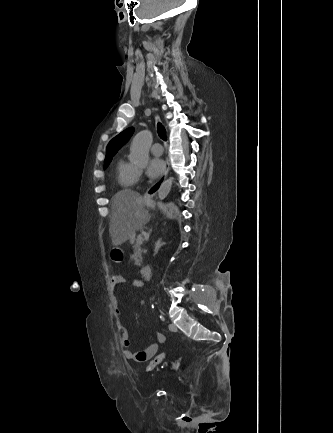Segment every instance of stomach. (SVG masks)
I'll return each mask as SVG.
<instances>
[{
	"instance_id": "obj_1",
	"label": "stomach",
	"mask_w": 333,
	"mask_h": 433,
	"mask_svg": "<svg viewBox=\"0 0 333 433\" xmlns=\"http://www.w3.org/2000/svg\"><path fill=\"white\" fill-rule=\"evenodd\" d=\"M153 202L152 201H146V200H144V204L145 205H149V204H152ZM175 204H172V206H168L167 208H166V217H167V219L168 220H177L178 219V217H179V214H178V212H179V209H176V211H175Z\"/></svg>"
}]
</instances>
